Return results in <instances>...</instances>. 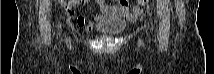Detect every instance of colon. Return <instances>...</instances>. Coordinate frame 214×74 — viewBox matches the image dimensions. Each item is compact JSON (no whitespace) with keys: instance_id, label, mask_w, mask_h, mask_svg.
I'll list each match as a JSON object with an SVG mask.
<instances>
[{"instance_id":"colon-1","label":"colon","mask_w":214,"mask_h":74,"mask_svg":"<svg viewBox=\"0 0 214 74\" xmlns=\"http://www.w3.org/2000/svg\"><path fill=\"white\" fill-rule=\"evenodd\" d=\"M73 3L77 1H72ZM148 2V0H138L137 3L140 5H145ZM121 3H127V1H122Z\"/></svg>"}]
</instances>
